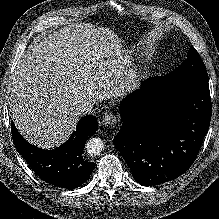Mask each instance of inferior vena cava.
Here are the masks:
<instances>
[{
    "label": "inferior vena cava",
    "instance_id": "obj_1",
    "mask_svg": "<svg viewBox=\"0 0 219 219\" xmlns=\"http://www.w3.org/2000/svg\"><path fill=\"white\" fill-rule=\"evenodd\" d=\"M93 106H94V101L92 99H86L79 101L75 105L74 109L79 116H84L92 112Z\"/></svg>",
    "mask_w": 219,
    "mask_h": 219
}]
</instances>
